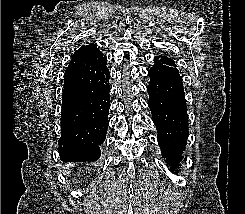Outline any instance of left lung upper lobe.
<instances>
[{"label":"left lung upper lobe","mask_w":245,"mask_h":214,"mask_svg":"<svg viewBox=\"0 0 245 214\" xmlns=\"http://www.w3.org/2000/svg\"><path fill=\"white\" fill-rule=\"evenodd\" d=\"M154 59L156 60L155 63H157V64H162L164 66H171V67H175L176 68L175 62L172 59L168 58V57L156 56Z\"/></svg>","instance_id":"left-lung-upper-lobe-1"}]
</instances>
